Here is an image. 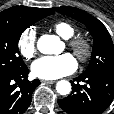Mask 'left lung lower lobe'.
I'll use <instances>...</instances> for the list:
<instances>
[{"label": "left lung lower lobe", "instance_id": "obj_1", "mask_svg": "<svg viewBox=\"0 0 114 114\" xmlns=\"http://www.w3.org/2000/svg\"><path fill=\"white\" fill-rule=\"evenodd\" d=\"M59 106L68 114H101L114 98V72L83 73ZM79 82H84L80 85Z\"/></svg>", "mask_w": 114, "mask_h": 114}]
</instances>
